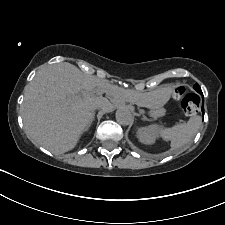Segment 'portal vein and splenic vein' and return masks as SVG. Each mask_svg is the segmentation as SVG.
Masks as SVG:
<instances>
[{
    "instance_id": "portal-vein-and-splenic-vein-1",
    "label": "portal vein and splenic vein",
    "mask_w": 225,
    "mask_h": 225,
    "mask_svg": "<svg viewBox=\"0 0 225 225\" xmlns=\"http://www.w3.org/2000/svg\"><path fill=\"white\" fill-rule=\"evenodd\" d=\"M81 95L85 96V95H87V92H86V91H82V92H81ZM79 96H80V95H75L74 97L77 98V97H79Z\"/></svg>"
}]
</instances>
